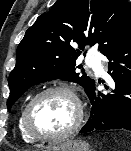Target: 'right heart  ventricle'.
Here are the masks:
<instances>
[{
	"label": "right heart ventricle",
	"instance_id": "right-heart-ventricle-1",
	"mask_svg": "<svg viewBox=\"0 0 131 151\" xmlns=\"http://www.w3.org/2000/svg\"><path fill=\"white\" fill-rule=\"evenodd\" d=\"M22 114H23V110L21 111L18 118V130H19L20 136L25 143H33L34 141H32L24 132L23 125H22Z\"/></svg>",
	"mask_w": 131,
	"mask_h": 151
}]
</instances>
